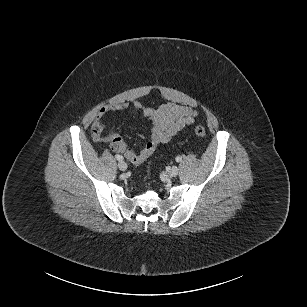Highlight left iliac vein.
<instances>
[{
  "label": "left iliac vein",
  "instance_id": "1",
  "mask_svg": "<svg viewBox=\"0 0 307 307\" xmlns=\"http://www.w3.org/2000/svg\"><path fill=\"white\" fill-rule=\"evenodd\" d=\"M178 172H179L178 167H177V166H172V167L169 169V171H168V176H169L170 178L176 177L177 174H178Z\"/></svg>",
  "mask_w": 307,
  "mask_h": 307
}]
</instances>
